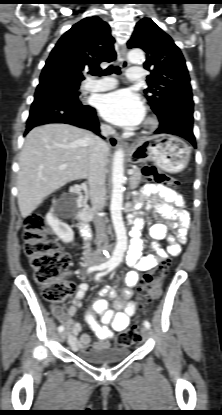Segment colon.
<instances>
[{
	"label": "colon",
	"instance_id": "5ec220e1",
	"mask_svg": "<svg viewBox=\"0 0 222 415\" xmlns=\"http://www.w3.org/2000/svg\"><path fill=\"white\" fill-rule=\"evenodd\" d=\"M143 172L157 184L175 189L180 186V182L176 178L160 172L155 167L145 166ZM24 242L25 253L34 270L35 279L42 287L44 298L52 303L63 302L73 291V285L62 278L63 272L70 264V257L60 250L59 242L52 237V233L40 213H33L26 217ZM167 271V262H162L143 275L140 284L139 307L141 310H145L148 303L159 297L158 286ZM138 338V328L134 327L122 333L118 337L117 343L130 345Z\"/></svg>",
	"mask_w": 222,
	"mask_h": 415
}]
</instances>
